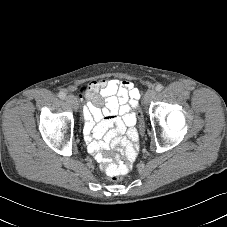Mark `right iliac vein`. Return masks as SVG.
<instances>
[{
    "label": "right iliac vein",
    "mask_w": 227,
    "mask_h": 227,
    "mask_svg": "<svg viewBox=\"0 0 227 227\" xmlns=\"http://www.w3.org/2000/svg\"><path fill=\"white\" fill-rule=\"evenodd\" d=\"M66 102L75 110L78 109V100L74 95H68L66 97Z\"/></svg>",
    "instance_id": "right-iliac-vein-1"
}]
</instances>
